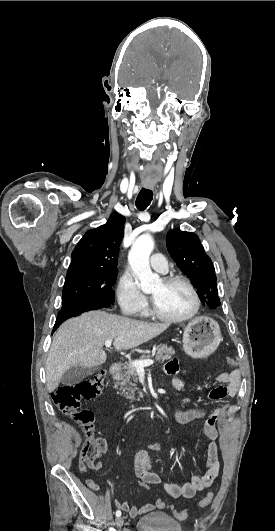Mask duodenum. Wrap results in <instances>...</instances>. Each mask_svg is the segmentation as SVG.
Returning <instances> with one entry per match:
<instances>
[{
    "instance_id": "obj_1",
    "label": "duodenum",
    "mask_w": 275,
    "mask_h": 531,
    "mask_svg": "<svg viewBox=\"0 0 275 531\" xmlns=\"http://www.w3.org/2000/svg\"><path fill=\"white\" fill-rule=\"evenodd\" d=\"M121 367H122V362L119 361V362L113 364L112 366H110V368H109V372H110L111 374H115V373H117V372L121 369ZM142 408H143V406H132V407H131V409L138 410V411H141Z\"/></svg>"
}]
</instances>
